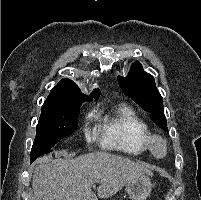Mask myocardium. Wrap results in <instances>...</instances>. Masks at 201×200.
<instances>
[{
    "label": "myocardium",
    "instance_id": "obj_1",
    "mask_svg": "<svg viewBox=\"0 0 201 200\" xmlns=\"http://www.w3.org/2000/svg\"><path fill=\"white\" fill-rule=\"evenodd\" d=\"M162 147V152H158V147ZM150 151L156 158H163L168 151V143L164 137L158 134L151 135L150 137Z\"/></svg>",
    "mask_w": 201,
    "mask_h": 200
}]
</instances>
